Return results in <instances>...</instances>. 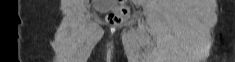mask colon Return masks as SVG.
I'll return each mask as SVG.
<instances>
[{"mask_svg": "<svg viewBox=\"0 0 235 62\" xmlns=\"http://www.w3.org/2000/svg\"><path fill=\"white\" fill-rule=\"evenodd\" d=\"M116 5L112 8L107 19L112 25H119L125 22L129 16V9L124 4L125 0H116Z\"/></svg>", "mask_w": 235, "mask_h": 62, "instance_id": "1", "label": "colon"}]
</instances>
